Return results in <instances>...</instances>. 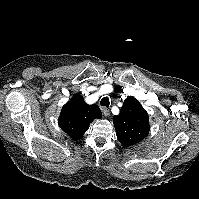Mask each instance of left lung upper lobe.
<instances>
[{"instance_id": "left-lung-upper-lobe-1", "label": "left lung upper lobe", "mask_w": 199, "mask_h": 199, "mask_svg": "<svg viewBox=\"0 0 199 199\" xmlns=\"http://www.w3.org/2000/svg\"><path fill=\"white\" fill-rule=\"evenodd\" d=\"M113 123L117 138L125 147L142 141L150 129L148 113L133 96L125 99L120 114L113 117Z\"/></svg>"}]
</instances>
